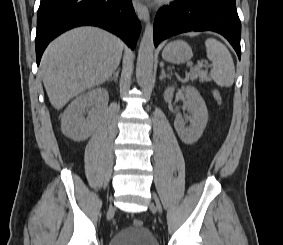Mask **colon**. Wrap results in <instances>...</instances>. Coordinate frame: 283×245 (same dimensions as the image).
<instances>
[{"label":"colon","instance_id":"obj_1","mask_svg":"<svg viewBox=\"0 0 283 245\" xmlns=\"http://www.w3.org/2000/svg\"><path fill=\"white\" fill-rule=\"evenodd\" d=\"M215 98L218 102H221V96L219 93H215ZM133 225L136 227H141L143 226V221L141 219H134Z\"/></svg>","mask_w":283,"mask_h":245}]
</instances>
